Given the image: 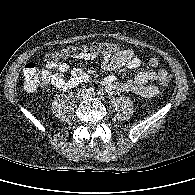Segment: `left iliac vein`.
Here are the masks:
<instances>
[{
	"mask_svg": "<svg viewBox=\"0 0 195 195\" xmlns=\"http://www.w3.org/2000/svg\"><path fill=\"white\" fill-rule=\"evenodd\" d=\"M96 94L93 92V93H88V97H95Z\"/></svg>",
	"mask_w": 195,
	"mask_h": 195,
	"instance_id": "obj_1",
	"label": "left iliac vein"
}]
</instances>
